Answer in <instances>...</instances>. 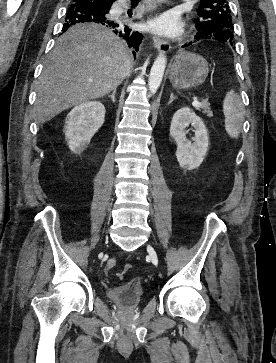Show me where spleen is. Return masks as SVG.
<instances>
[{
	"mask_svg": "<svg viewBox=\"0 0 276 363\" xmlns=\"http://www.w3.org/2000/svg\"><path fill=\"white\" fill-rule=\"evenodd\" d=\"M225 130L230 137L236 138L244 120V106L238 94L229 91L223 101Z\"/></svg>",
	"mask_w": 276,
	"mask_h": 363,
	"instance_id": "3e777b00",
	"label": "spleen"
}]
</instances>
